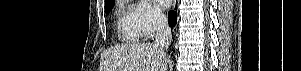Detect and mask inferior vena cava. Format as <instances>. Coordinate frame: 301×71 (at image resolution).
Masks as SVG:
<instances>
[{"mask_svg": "<svg viewBox=\"0 0 301 71\" xmlns=\"http://www.w3.org/2000/svg\"><path fill=\"white\" fill-rule=\"evenodd\" d=\"M154 17L156 23V35L153 44L162 53H165V50L168 49L172 41L171 29L164 14L156 13Z\"/></svg>", "mask_w": 301, "mask_h": 71, "instance_id": "inferior-vena-cava-1", "label": "inferior vena cava"}]
</instances>
